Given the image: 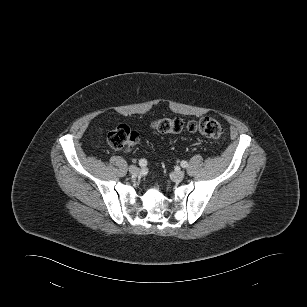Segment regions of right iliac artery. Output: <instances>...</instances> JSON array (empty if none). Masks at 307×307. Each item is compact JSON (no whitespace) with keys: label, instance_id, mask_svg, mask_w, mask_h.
<instances>
[{"label":"right iliac artery","instance_id":"right-iliac-artery-1","mask_svg":"<svg viewBox=\"0 0 307 307\" xmlns=\"http://www.w3.org/2000/svg\"><path fill=\"white\" fill-rule=\"evenodd\" d=\"M139 165H140L141 167H145V166L147 165V161H146L145 159H141V160L139 161Z\"/></svg>","mask_w":307,"mask_h":307}]
</instances>
